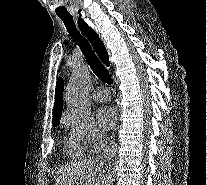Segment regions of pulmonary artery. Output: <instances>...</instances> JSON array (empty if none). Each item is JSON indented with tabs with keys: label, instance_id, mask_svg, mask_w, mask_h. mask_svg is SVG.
Returning a JSON list of instances; mask_svg holds the SVG:
<instances>
[{
	"label": "pulmonary artery",
	"instance_id": "obj_1",
	"mask_svg": "<svg viewBox=\"0 0 207 185\" xmlns=\"http://www.w3.org/2000/svg\"><path fill=\"white\" fill-rule=\"evenodd\" d=\"M102 87H98L93 92V98L98 102H106L110 98L109 90H101Z\"/></svg>",
	"mask_w": 207,
	"mask_h": 185
}]
</instances>
